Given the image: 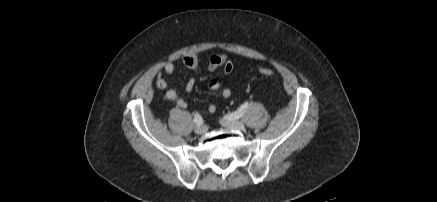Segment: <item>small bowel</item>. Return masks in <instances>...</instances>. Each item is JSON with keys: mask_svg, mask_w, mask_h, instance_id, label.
Returning a JSON list of instances; mask_svg holds the SVG:
<instances>
[{"mask_svg": "<svg viewBox=\"0 0 437 202\" xmlns=\"http://www.w3.org/2000/svg\"><path fill=\"white\" fill-rule=\"evenodd\" d=\"M183 64L186 68L191 71L196 72L199 66V58L197 54H188L183 58ZM207 69L214 71L217 69H222L225 73L230 74L233 71V63L230 58L225 54L212 55L207 60ZM175 71V64L173 62H167L163 66V72L167 75L173 74ZM156 86L166 92V97L175 102L181 108H187V102L181 98L178 93L169 87L167 81L159 73L156 77ZM195 87V78L191 77L185 85V91L191 92ZM208 89L210 91H221V96L224 99H228L231 96V91L228 88H224L222 83L217 79H212L208 84ZM216 111V106L211 104L207 107V113H214Z\"/></svg>", "mask_w": 437, "mask_h": 202, "instance_id": "c3829d8e", "label": "small bowel"}]
</instances>
